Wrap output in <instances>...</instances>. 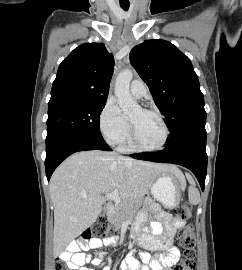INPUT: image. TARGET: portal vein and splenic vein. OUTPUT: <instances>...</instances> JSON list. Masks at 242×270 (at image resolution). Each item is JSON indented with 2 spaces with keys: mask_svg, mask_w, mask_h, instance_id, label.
<instances>
[{
  "mask_svg": "<svg viewBox=\"0 0 242 270\" xmlns=\"http://www.w3.org/2000/svg\"><path fill=\"white\" fill-rule=\"evenodd\" d=\"M83 197L86 198L87 195H83ZM105 197L107 199L113 200L116 204H120L121 203V199H120V197L118 195V190L117 189H115L112 193L106 194Z\"/></svg>",
  "mask_w": 242,
  "mask_h": 270,
  "instance_id": "1",
  "label": "portal vein and splenic vein"
}]
</instances>
